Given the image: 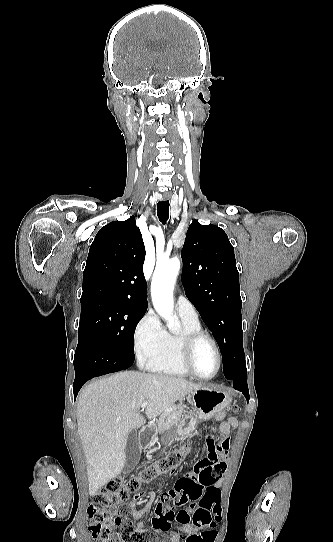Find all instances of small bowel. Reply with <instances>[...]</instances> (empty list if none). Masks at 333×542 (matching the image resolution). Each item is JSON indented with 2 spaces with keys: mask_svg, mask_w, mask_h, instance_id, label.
I'll use <instances>...</instances> for the list:
<instances>
[{
  "mask_svg": "<svg viewBox=\"0 0 333 542\" xmlns=\"http://www.w3.org/2000/svg\"><path fill=\"white\" fill-rule=\"evenodd\" d=\"M238 426V420L235 417H230L227 420L223 421L220 424V437L218 440H216L213 436L209 435L206 437V446H207V458L208 459H223L224 453L228 450L230 446V432L231 429H234ZM216 447V448H214ZM217 447H220L218 450ZM209 448H214V450H210ZM222 484V481H216L214 483V487H219ZM155 493H160V488H155ZM154 494L148 493V494H136L133 500L128 501L125 505L130 506L132 510L129 512L130 517L133 520H139L141 519L146 513L149 512L151 504L154 500ZM145 504V507L141 508L140 506ZM184 514V513H183ZM181 524V523H180ZM182 525V531L184 534H192L195 533L196 530H209L211 528V523L209 521H194L193 524L191 522L189 523H183ZM137 529L141 530L143 528L142 522H137L136 524ZM181 536L177 532H169V542H180Z\"/></svg>",
  "mask_w": 333,
  "mask_h": 542,
  "instance_id": "obj_1",
  "label": "small bowel"
}]
</instances>
